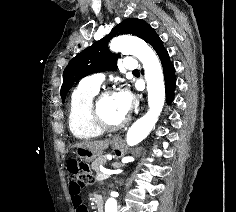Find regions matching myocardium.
<instances>
[{
    "instance_id": "f54148a6",
    "label": "myocardium",
    "mask_w": 236,
    "mask_h": 212,
    "mask_svg": "<svg viewBox=\"0 0 236 212\" xmlns=\"http://www.w3.org/2000/svg\"><path fill=\"white\" fill-rule=\"evenodd\" d=\"M111 94H113V91L111 89H103L102 91L98 92L95 95L91 105L92 114L95 122L103 131H109V132L117 131L123 128L128 122V120L124 118L122 121L118 123H110L104 118L100 110V103L105 97Z\"/></svg>"
}]
</instances>
